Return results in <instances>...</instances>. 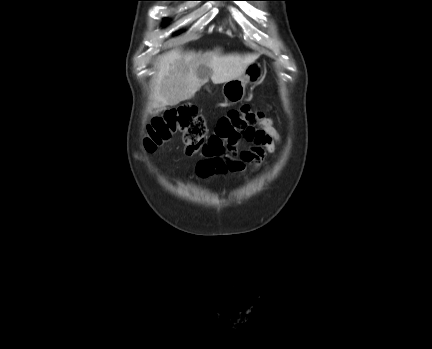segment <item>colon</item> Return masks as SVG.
<instances>
[{
	"instance_id": "5ec220e1",
	"label": "colon",
	"mask_w": 432,
	"mask_h": 349,
	"mask_svg": "<svg viewBox=\"0 0 432 349\" xmlns=\"http://www.w3.org/2000/svg\"><path fill=\"white\" fill-rule=\"evenodd\" d=\"M263 114L245 104L221 116L214 132L207 136L205 119L193 105H183L167 110L147 128L145 148L154 151L179 134L188 155L201 154L202 162L222 169V160L231 154L241 139L248 137Z\"/></svg>"
}]
</instances>
